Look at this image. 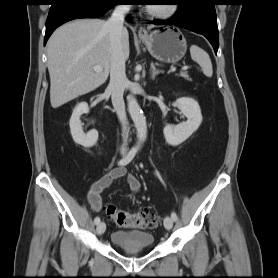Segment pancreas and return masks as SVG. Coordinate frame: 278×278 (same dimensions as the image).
Masks as SVG:
<instances>
[{
	"mask_svg": "<svg viewBox=\"0 0 278 278\" xmlns=\"http://www.w3.org/2000/svg\"><path fill=\"white\" fill-rule=\"evenodd\" d=\"M180 76L187 80H190L189 75L186 72L181 73Z\"/></svg>",
	"mask_w": 278,
	"mask_h": 278,
	"instance_id": "pancreas-1",
	"label": "pancreas"
}]
</instances>
